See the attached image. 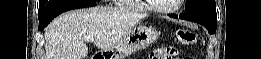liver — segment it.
Masks as SVG:
<instances>
[{"label": "liver", "mask_w": 261, "mask_h": 59, "mask_svg": "<svg viewBox=\"0 0 261 59\" xmlns=\"http://www.w3.org/2000/svg\"><path fill=\"white\" fill-rule=\"evenodd\" d=\"M145 16L111 7L72 10L55 18L45 29L46 59H85L86 38L106 50L118 43Z\"/></svg>", "instance_id": "6515ba94"}]
</instances>
